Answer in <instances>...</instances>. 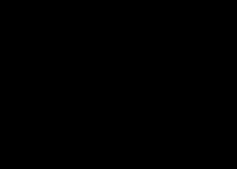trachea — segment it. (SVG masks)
<instances>
[{"label":"trachea","mask_w":237,"mask_h":169,"mask_svg":"<svg viewBox=\"0 0 237 169\" xmlns=\"http://www.w3.org/2000/svg\"><path fill=\"white\" fill-rule=\"evenodd\" d=\"M115 87H117V86H104L103 91H105V92L112 91L113 89H116ZM121 93L124 94L125 92L122 91Z\"/></svg>","instance_id":"1"}]
</instances>
